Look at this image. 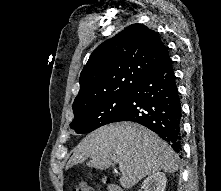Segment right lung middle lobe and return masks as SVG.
Here are the masks:
<instances>
[{
	"label": "right lung middle lobe",
	"mask_w": 221,
	"mask_h": 191,
	"mask_svg": "<svg viewBox=\"0 0 221 191\" xmlns=\"http://www.w3.org/2000/svg\"><path fill=\"white\" fill-rule=\"evenodd\" d=\"M131 95L132 91L122 92L74 112L75 118L70 123V128L77 133H89L103 125L116 122L124 113Z\"/></svg>",
	"instance_id": "obj_1"
}]
</instances>
